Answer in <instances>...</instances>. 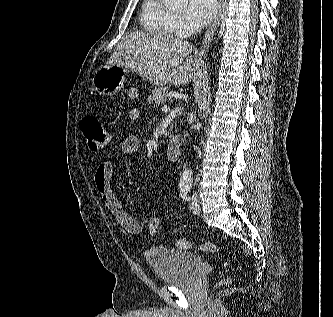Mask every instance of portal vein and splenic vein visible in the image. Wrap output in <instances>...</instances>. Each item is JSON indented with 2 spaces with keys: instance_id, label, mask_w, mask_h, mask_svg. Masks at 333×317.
Wrapping results in <instances>:
<instances>
[{
  "instance_id": "portal-vein-and-splenic-vein-1",
  "label": "portal vein and splenic vein",
  "mask_w": 333,
  "mask_h": 317,
  "mask_svg": "<svg viewBox=\"0 0 333 317\" xmlns=\"http://www.w3.org/2000/svg\"><path fill=\"white\" fill-rule=\"evenodd\" d=\"M162 111H163V112H168V111H170V107L167 106V105H164V106L162 107Z\"/></svg>"
}]
</instances>
